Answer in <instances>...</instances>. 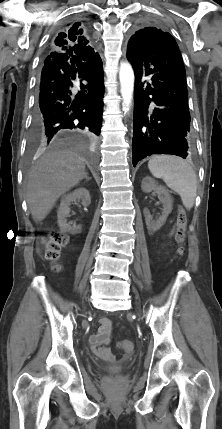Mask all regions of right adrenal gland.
I'll list each match as a JSON object with an SVG mask.
<instances>
[{"mask_svg":"<svg viewBox=\"0 0 222 429\" xmlns=\"http://www.w3.org/2000/svg\"><path fill=\"white\" fill-rule=\"evenodd\" d=\"M84 179L86 180V181H89V180H91V177H88L87 176V174L85 175V177H84Z\"/></svg>","mask_w":222,"mask_h":429,"instance_id":"right-adrenal-gland-1","label":"right adrenal gland"}]
</instances>
